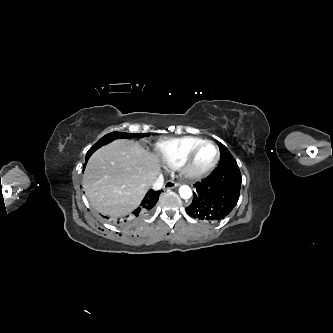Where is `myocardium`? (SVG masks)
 Returning a JSON list of instances; mask_svg holds the SVG:
<instances>
[{
  "instance_id": "obj_1",
  "label": "myocardium",
  "mask_w": 333,
  "mask_h": 333,
  "mask_svg": "<svg viewBox=\"0 0 333 333\" xmlns=\"http://www.w3.org/2000/svg\"><path fill=\"white\" fill-rule=\"evenodd\" d=\"M206 145H211L216 149V157L212 163L203 168H195L194 160L198 152ZM220 160V150L216 143L211 140H204L196 145L180 164L179 169L182 176L186 179H198L212 171Z\"/></svg>"
}]
</instances>
